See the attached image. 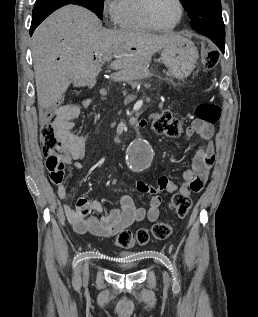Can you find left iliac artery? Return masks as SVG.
I'll return each instance as SVG.
<instances>
[{"mask_svg": "<svg viewBox=\"0 0 258 317\" xmlns=\"http://www.w3.org/2000/svg\"><path fill=\"white\" fill-rule=\"evenodd\" d=\"M172 264H173V269H174V271H175V274H177V267H176V264H175V262H172ZM178 285V284H177ZM180 291V286H177V287H175L174 289H173V292L174 293H178Z\"/></svg>", "mask_w": 258, "mask_h": 317, "instance_id": "obj_1", "label": "left iliac artery"}]
</instances>
